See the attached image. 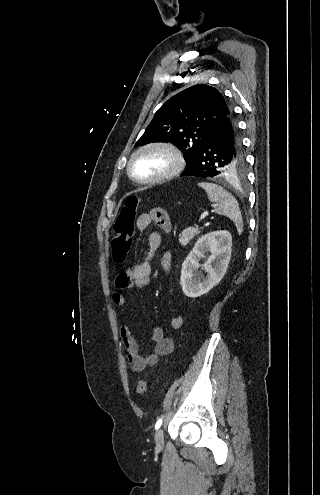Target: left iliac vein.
Returning a JSON list of instances; mask_svg holds the SVG:
<instances>
[{"mask_svg": "<svg viewBox=\"0 0 320 495\" xmlns=\"http://www.w3.org/2000/svg\"><path fill=\"white\" fill-rule=\"evenodd\" d=\"M155 444L158 449H162L164 446L163 430L160 428L155 433Z\"/></svg>", "mask_w": 320, "mask_h": 495, "instance_id": "left-iliac-vein-1", "label": "left iliac vein"}]
</instances>
